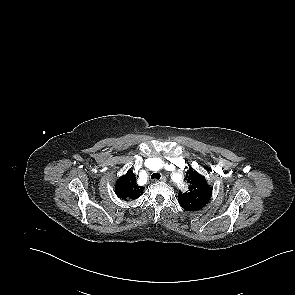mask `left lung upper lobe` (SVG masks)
<instances>
[{
    "instance_id": "5c2ea615",
    "label": "left lung upper lobe",
    "mask_w": 295,
    "mask_h": 295,
    "mask_svg": "<svg viewBox=\"0 0 295 295\" xmlns=\"http://www.w3.org/2000/svg\"><path fill=\"white\" fill-rule=\"evenodd\" d=\"M185 180L189 184V190L185 193L179 192V204L187 211L202 209L211 198L212 188L205 178L192 168L186 172Z\"/></svg>"
}]
</instances>
